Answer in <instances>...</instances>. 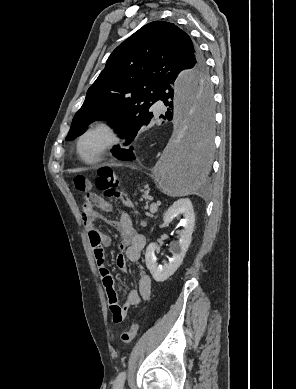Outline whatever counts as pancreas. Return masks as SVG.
Here are the masks:
<instances>
[{
    "label": "pancreas",
    "instance_id": "1",
    "mask_svg": "<svg viewBox=\"0 0 296 389\" xmlns=\"http://www.w3.org/2000/svg\"><path fill=\"white\" fill-rule=\"evenodd\" d=\"M150 211H151L152 213L156 212V211H154V210L151 209V206H150Z\"/></svg>",
    "mask_w": 296,
    "mask_h": 389
}]
</instances>
